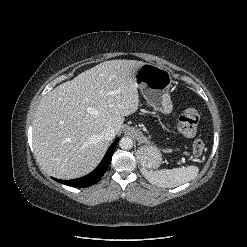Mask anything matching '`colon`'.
I'll list each match as a JSON object with an SVG mask.
<instances>
[{
	"mask_svg": "<svg viewBox=\"0 0 247 247\" xmlns=\"http://www.w3.org/2000/svg\"><path fill=\"white\" fill-rule=\"evenodd\" d=\"M199 124V114L194 107H188L179 118V132L186 138L195 136ZM193 153L201 155L205 150V143L202 139H196L193 142Z\"/></svg>",
	"mask_w": 247,
	"mask_h": 247,
	"instance_id": "1",
	"label": "colon"
}]
</instances>
